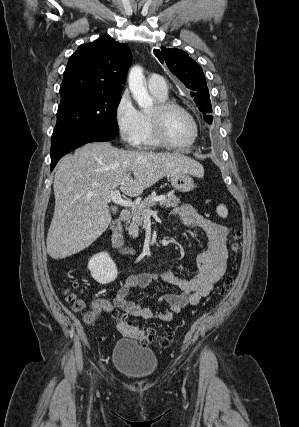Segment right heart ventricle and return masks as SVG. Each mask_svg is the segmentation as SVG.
Segmentation results:
<instances>
[{"label":"right heart ventricle","instance_id":"1","mask_svg":"<svg viewBox=\"0 0 299 427\" xmlns=\"http://www.w3.org/2000/svg\"><path fill=\"white\" fill-rule=\"evenodd\" d=\"M151 94L153 95L157 103L167 101V97H168L167 94L160 95L154 92H151ZM141 116H142L143 128H142V134H141V138L138 146L146 149L159 147L160 144L156 141L152 132L149 113L143 111L141 112Z\"/></svg>","mask_w":299,"mask_h":427}]
</instances>
